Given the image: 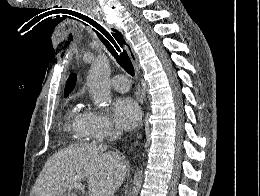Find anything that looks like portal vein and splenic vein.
Listing matches in <instances>:
<instances>
[{
    "label": "portal vein and splenic vein",
    "mask_w": 260,
    "mask_h": 196,
    "mask_svg": "<svg viewBox=\"0 0 260 196\" xmlns=\"http://www.w3.org/2000/svg\"><path fill=\"white\" fill-rule=\"evenodd\" d=\"M66 190H82V192H84L85 186H82V184H78V182H76V184H71V186L66 188ZM66 190H61V192H66Z\"/></svg>",
    "instance_id": "portal-vein-and-splenic-vein-1"
}]
</instances>
